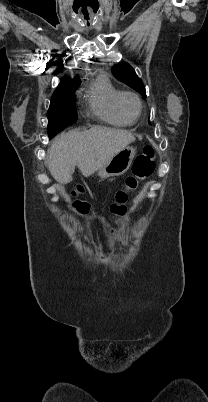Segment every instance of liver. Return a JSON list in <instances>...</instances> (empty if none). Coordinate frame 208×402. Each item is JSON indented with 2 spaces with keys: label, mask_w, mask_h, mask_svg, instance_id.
I'll return each instance as SVG.
<instances>
[{
  "label": "liver",
  "mask_w": 208,
  "mask_h": 402,
  "mask_svg": "<svg viewBox=\"0 0 208 402\" xmlns=\"http://www.w3.org/2000/svg\"><path fill=\"white\" fill-rule=\"evenodd\" d=\"M135 140L127 130L101 126L85 132L71 130L67 134H60L48 150L49 172L59 184L72 182L75 166H78L82 176L89 178Z\"/></svg>",
  "instance_id": "liver-1"
}]
</instances>
